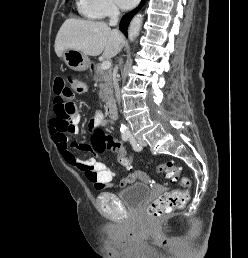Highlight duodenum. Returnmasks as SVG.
Masks as SVG:
<instances>
[{"label": "duodenum", "instance_id": "410a0bca", "mask_svg": "<svg viewBox=\"0 0 248 258\" xmlns=\"http://www.w3.org/2000/svg\"><path fill=\"white\" fill-rule=\"evenodd\" d=\"M106 111L109 115L110 118H115L116 113H115V106L114 103L111 99L107 100L105 103Z\"/></svg>", "mask_w": 248, "mask_h": 258}]
</instances>
